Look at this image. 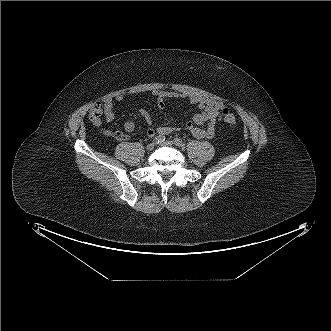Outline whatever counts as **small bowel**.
<instances>
[{
    "label": "small bowel",
    "instance_id": "obj_1",
    "mask_svg": "<svg viewBox=\"0 0 331 331\" xmlns=\"http://www.w3.org/2000/svg\"><path fill=\"white\" fill-rule=\"evenodd\" d=\"M150 95L155 98L156 105L159 109H165L168 102L179 99H185L191 104L196 105L201 112L195 114L192 121L186 123V130L198 139L213 137L216 126L220 121L221 111L224 107L222 102L206 96L191 93H178L167 90H152ZM123 99L124 96L122 94H118L116 96H106L101 102L95 104L89 113V118L93 125H101L102 115H104L107 122H112L115 119L114 104L123 101ZM139 113L145 120L147 127L146 133L150 137H154L156 135L165 136L175 130L174 127L169 125L154 127L152 125L150 113L144 108H140ZM123 129L128 133L133 132L135 129L134 122L126 121L123 125ZM108 134L119 140L127 138V136L118 130H110L108 131Z\"/></svg>",
    "mask_w": 331,
    "mask_h": 331
}]
</instances>
